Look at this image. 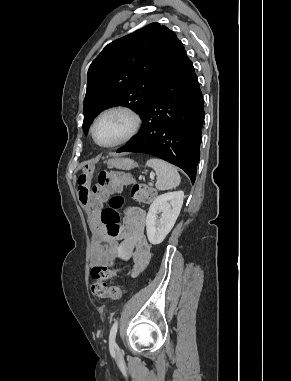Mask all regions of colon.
<instances>
[{"label":"colon","instance_id":"1","mask_svg":"<svg viewBox=\"0 0 291 381\" xmlns=\"http://www.w3.org/2000/svg\"><path fill=\"white\" fill-rule=\"evenodd\" d=\"M86 174H81L79 178V194L84 204L97 206L101 200L110 193L119 192L126 186H130L131 197L140 203H150L154 199V189L144 183L132 182L121 173H109L102 171L98 176L97 183L90 187L86 182ZM124 199L115 196L110 199V206L104 208L100 215V220L106 228L109 236L115 237L120 230V215L118 209L122 206ZM122 268L112 269L106 265H95L91 270L94 280L91 290L94 296L100 299H119L121 291L117 286H109L107 281L119 273H123Z\"/></svg>","mask_w":291,"mask_h":381}]
</instances>
